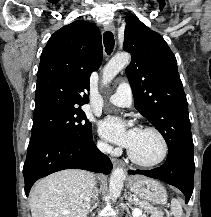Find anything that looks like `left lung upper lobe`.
<instances>
[{"label": "left lung upper lobe", "instance_id": "left-lung-upper-lobe-1", "mask_svg": "<svg viewBox=\"0 0 211 217\" xmlns=\"http://www.w3.org/2000/svg\"><path fill=\"white\" fill-rule=\"evenodd\" d=\"M123 49L135 107L162 134L169 151H193L188 103L175 55L163 37L133 15L126 17Z\"/></svg>", "mask_w": 211, "mask_h": 217}]
</instances>
